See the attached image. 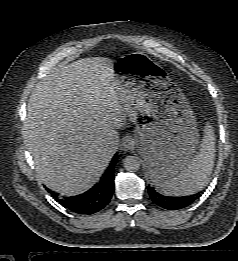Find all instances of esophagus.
<instances>
[{
    "label": "esophagus",
    "instance_id": "obj_1",
    "mask_svg": "<svg viewBox=\"0 0 238 261\" xmlns=\"http://www.w3.org/2000/svg\"><path fill=\"white\" fill-rule=\"evenodd\" d=\"M135 146V141L132 138L126 139L122 144V149L127 151L133 149Z\"/></svg>",
    "mask_w": 238,
    "mask_h": 261
}]
</instances>
